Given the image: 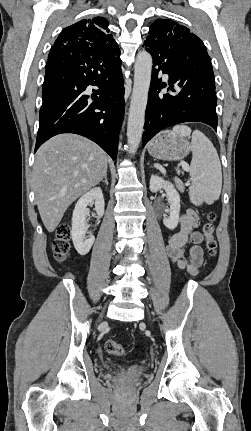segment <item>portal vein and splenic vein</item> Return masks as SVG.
Listing matches in <instances>:
<instances>
[{
	"instance_id": "18ae733b",
	"label": "portal vein and splenic vein",
	"mask_w": 251,
	"mask_h": 431,
	"mask_svg": "<svg viewBox=\"0 0 251 431\" xmlns=\"http://www.w3.org/2000/svg\"><path fill=\"white\" fill-rule=\"evenodd\" d=\"M182 167H183V169H184V170H186V171H189V170H190V168H189V166H188L187 164H182Z\"/></svg>"
}]
</instances>
